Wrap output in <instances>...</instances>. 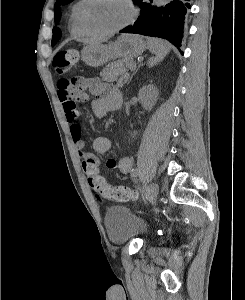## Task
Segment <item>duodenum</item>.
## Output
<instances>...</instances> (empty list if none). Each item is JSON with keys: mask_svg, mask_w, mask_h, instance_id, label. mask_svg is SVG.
Returning <instances> with one entry per match:
<instances>
[{"mask_svg": "<svg viewBox=\"0 0 245 300\" xmlns=\"http://www.w3.org/2000/svg\"><path fill=\"white\" fill-rule=\"evenodd\" d=\"M121 102H122V99H121V97H119V98H118V103H117V106H118V107L121 106Z\"/></svg>", "mask_w": 245, "mask_h": 300, "instance_id": "duodenum-1", "label": "duodenum"}]
</instances>
